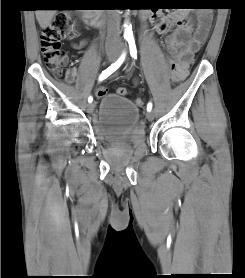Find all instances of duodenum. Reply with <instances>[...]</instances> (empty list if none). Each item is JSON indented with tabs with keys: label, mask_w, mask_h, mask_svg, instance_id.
<instances>
[{
	"label": "duodenum",
	"mask_w": 245,
	"mask_h": 278,
	"mask_svg": "<svg viewBox=\"0 0 245 278\" xmlns=\"http://www.w3.org/2000/svg\"><path fill=\"white\" fill-rule=\"evenodd\" d=\"M142 16L147 17V14L144 12V13H142ZM84 20L89 26L94 27V28L100 27L101 23H102L101 16L96 11L85 12Z\"/></svg>",
	"instance_id": "duodenum-1"
}]
</instances>
